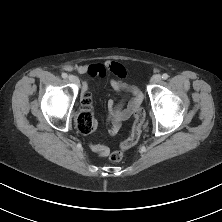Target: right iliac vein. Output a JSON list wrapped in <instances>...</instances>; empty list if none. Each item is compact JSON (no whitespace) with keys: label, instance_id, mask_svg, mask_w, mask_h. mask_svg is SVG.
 Listing matches in <instances>:
<instances>
[{"label":"right iliac vein","instance_id":"63e3f726","mask_svg":"<svg viewBox=\"0 0 222 222\" xmlns=\"http://www.w3.org/2000/svg\"><path fill=\"white\" fill-rule=\"evenodd\" d=\"M68 79H69L70 82H72V83H74V84H78V83H79V79H78L77 76L70 75V76L68 77Z\"/></svg>","mask_w":222,"mask_h":222}]
</instances>
